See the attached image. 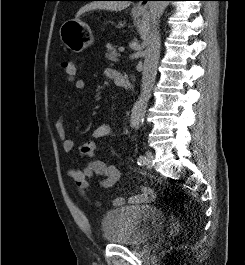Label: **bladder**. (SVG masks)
Wrapping results in <instances>:
<instances>
[{"mask_svg": "<svg viewBox=\"0 0 245 265\" xmlns=\"http://www.w3.org/2000/svg\"><path fill=\"white\" fill-rule=\"evenodd\" d=\"M165 222V214L155 206L129 205L106 212L101 233L110 244L136 247L152 240Z\"/></svg>", "mask_w": 245, "mask_h": 265, "instance_id": "1", "label": "bladder"}]
</instances>
